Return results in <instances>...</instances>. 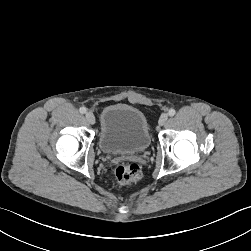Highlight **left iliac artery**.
I'll list each match as a JSON object with an SVG mask.
<instances>
[{"mask_svg": "<svg viewBox=\"0 0 251 251\" xmlns=\"http://www.w3.org/2000/svg\"><path fill=\"white\" fill-rule=\"evenodd\" d=\"M168 114L169 116H174L176 114V111L174 109H170Z\"/></svg>", "mask_w": 251, "mask_h": 251, "instance_id": "left-iliac-artery-1", "label": "left iliac artery"}]
</instances>
